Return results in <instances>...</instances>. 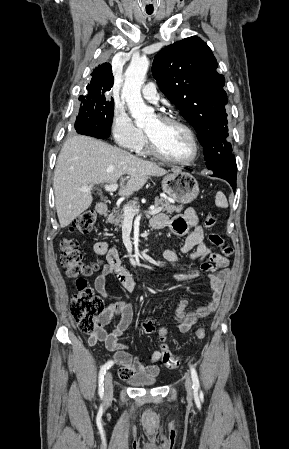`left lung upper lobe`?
<instances>
[{
    "instance_id": "left-lung-upper-lobe-1",
    "label": "left lung upper lobe",
    "mask_w": 289,
    "mask_h": 449,
    "mask_svg": "<svg viewBox=\"0 0 289 449\" xmlns=\"http://www.w3.org/2000/svg\"><path fill=\"white\" fill-rule=\"evenodd\" d=\"M208 45L192 36L161 50L152 73L160 90L194 127L207 168L216 177H236L237 165L227 141L225 78Z\"/></svg>"
}]
</instances>
